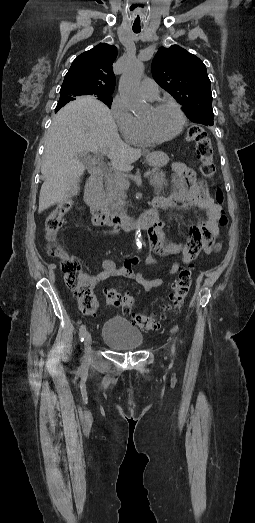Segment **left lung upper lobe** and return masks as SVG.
I'll return each instance as SVG.
<instances>
[{"label":"left lung upper lobe","mask_w":255,"mask_h":523,"mask_svg":"<svg viewBox=\"0 0 255 523\" xmlns=\"http://www.w3.org/2000/svg\"><path fill=\"white\" fill-rule=\"evenodd\" d=\"M152 75L183 105L192 122L214 124L211 83L206 66L198 57L177 45L161 47L152 62Z\"/></svg>","instance_id":"5c2ea615"}]
</instances>
